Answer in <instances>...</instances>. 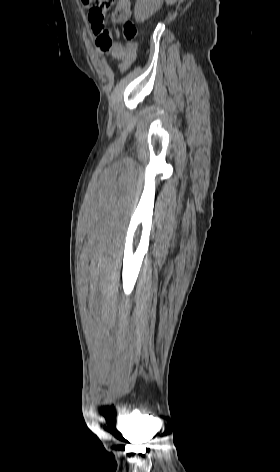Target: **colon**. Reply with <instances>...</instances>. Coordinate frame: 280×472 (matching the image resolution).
<instances>
[{"instance_id": "obj_1", "label": "colon", "mask_w": 280, "mask_h": 472, "mask_svg": "<svg viewBox=\"0 0 280 472\" xmlns=\"http://www.w3.org/2000/svg\"><path fill=\"white\" fill-rule=\"evenodd\" d=\"M92 0H84L86 3H90ZM116 0H96L89 12V21L98 24V25H105V12L106 9L111 6ZM122 33L124 38L126 39V45L130 49L135 48L134 39L137 35V28L135 24L127 20L123 22L122 25Z\"/></svg>"}]
</instances>
